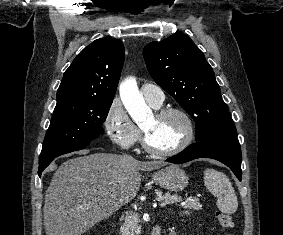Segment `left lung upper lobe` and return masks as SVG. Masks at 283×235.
Listing matches in <instances>:
<instances>
[{
    "instance_id": "1",
    "label": "left lung upper lobe",
    "mask_w": 283,
    "mask_h": 235,
    "mask_svg": "<svg viewBox=\"0 0 283 235\" xmlns=\"http://www.w3.org/2000/svg\"><path fill=\"white\" fill-rule=\"evenodd\" d=\"M143 55L154 81L195 121L196 141L236 135L213 69L187 35L151 42Z\"/></svg>"
}]
</instances>
